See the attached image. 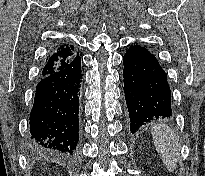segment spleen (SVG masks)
I'll use <instances>...</instances> for the list:
<instances>
[{"instance_id": "3e777b00", "label": "spleen", "mask_w": 205, "mask_h": 176, "mask_svg": "<svg viewBox=\"0 0 205 176\" xmlns=\"http://www.w3.org/2000/svg\"><path fill=\"white\" fill-rule=\"evenodd\" d=\"M152 136L156 151L161 157L169 172L177 167L179 159V139L175 132L165 124L155 125L152 128Z\"/></svg>"}]
</instances>
